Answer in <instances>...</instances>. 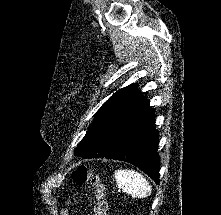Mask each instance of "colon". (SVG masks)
<instances>
[{
    "mask_svg": "<svg viewBox=\"0 0 221 215\" xmlns=\"http://www.w3.org/2000/svg\"><path fill=\"white\" fill-rule=\"evenodd\" d=\"M72 180L77 185L89 184L93 188L95 199L91 214L107 215V203L99 176L86 166H79L73 171ZM63 215H67L66 210L63 211Z\"/></svg>",
    "mask_w": 221,
    "mask_h": 215,
    "instance_id": "obj_1",
    "label": "colon"
}]
</instances>
